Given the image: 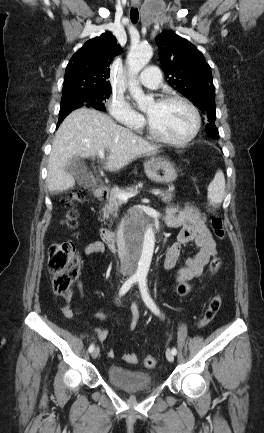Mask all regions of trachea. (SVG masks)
<instances>
[{"instance_id": "obj_1", "label": "trachea", "mask_w": 264, "mask_h": 433, "mask_svg": "<svg viewBox=\"0 0 264 433\" xmlns=\"http://www.w3.org/2000/svg\"><path fill=\"white\" fill-rule=\"evenodd\" d=\"M130 19L132 21L133 24H136L138 22L139 19V12L137 8H131L130 11Z\"/></svg>"}]
</instances>
